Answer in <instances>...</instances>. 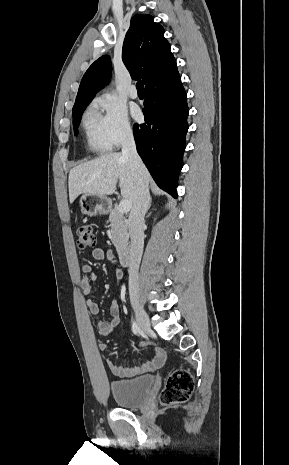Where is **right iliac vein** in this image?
<instances>
[{"instance_id": "right-iliac-vein-1", "label": "right iliac vein", "mask_w": 289, "mask_h": 465, "mask_svg": "<svg viewBox=\"0 0 289 465\" xmlns=\"http://www.w3.org/2000/svg\"><path fill=\"white\" fill-rule=\"evenodd\" d=\"M132 307L135 311L137 322H138L141 332L145 335H150L152 333V330H151L150 321H149V318H148V315L145 309L137 300L132 301Z\"/></svg>"}]
</instances>
